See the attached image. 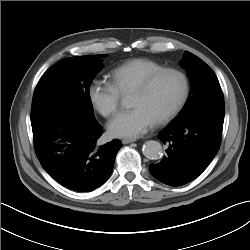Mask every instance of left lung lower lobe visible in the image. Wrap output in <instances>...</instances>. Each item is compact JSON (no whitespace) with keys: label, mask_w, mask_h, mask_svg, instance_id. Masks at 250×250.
<instances>
[{"label":"left lung lower lobe","mask_w":250,"mask_h":250,"mask_svg":"<svg viewBox=\"0 0 250 250\" xmlns=\"http://www.w3.org/2000/svg\"><path fill=\"white\" fill-rule=\"evenodd\" d=\"M224 102L214 103L178 121L158 134L166 155L150 164L151 174L170 186L198 177L217 154L222 136Z\"/></svg>","instance_id":"left-lung-lower-lobe-1"}]
</instances>
